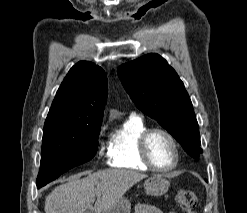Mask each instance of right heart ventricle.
<instances>
[{
  "instance_id": "e07e8e85",
  "label": "right heart ventricle",
  "mask_w": 247,
  "mask_h": 213,
  "mask_svg": "<svg viewBox=\"0 0 247 213\" xmlns=\"http://www.w3.org/2000/svg\"><path fill=\"white\" fill-rule=\"evenodd\" d=\"M145 130L147 126L144 121L131 116L111 134L108 142L110 166L133 171L149 170L138 152V141Z\"/></svg>"
}]
</instances>
